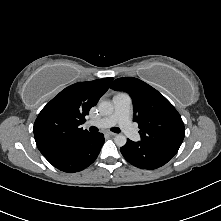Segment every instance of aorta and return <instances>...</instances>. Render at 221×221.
I'll return each mask as SVG.
<instances>
[{
	"mask_svg": "<svg viewBox=\"0 0 221 221\" xmlns=\"http://www.w3.org/2000/svg\"><path fill=\"white\" fill-rule=\"evenodd\" d=\"M98 108L100 113L103 115L112 114L114 109L113 104L110 101H101ZM114 141L118 147H122L126 144L127 138L122 134H118L115 136Z\"/></svg>",
	"mask_w": 221,
	"mask_h": 221,
	"instance_id": "obj_1",
	"label": "aorta"
}]
</instances>
